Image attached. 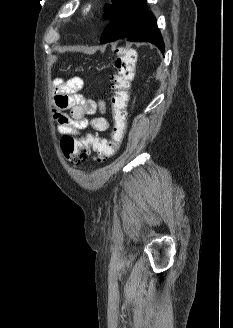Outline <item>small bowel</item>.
<instances>
[{
  "label": "small bowel",
  "mask_w": 233,
  "mask_h": 328,
  "mask_svg": "<svg viewBox=\"0 0 233 328\" xmlns=\"http://www.w3.org/2000/svg\"><path fill=\"white\" fill-rule=\"evenodd\" d=\"M83 87L80 77L68 80H54V111L58 132L64 135L83 137L82 131L88 127L97 132L109 129V121L104 117L106 104L103 100L95 101L79 94ZM69 110V114L65 113ZM99 113L98 116H94ZM94 116V117H91Z\"/></svg>",
  "instance_id": "small-bowel-1"
}]
</instances>
